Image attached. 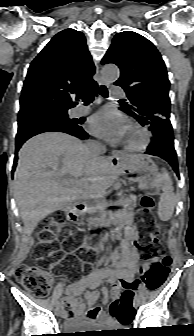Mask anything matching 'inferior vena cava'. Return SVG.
<instances>
[{
  "instance_id": "obj_1",
  "label": "inferior vena cava",
  "mask_w": 194,
  "mask_h": 336,
  "mask_svg": "<svg viewBox=\"0 0 194 336\" xmlns=\"http://www.w3.org/2000/svg\"><path fill=\"white\" fill-rule=\"evenodd\" d=\"M86 150L89 153L91 157V160L93 162H96L98 160L97 156H100L101 154H104L106 152L105 146H103L101 143L97 141H90L86 144Z\"/></svg>"
}]
</instances>
